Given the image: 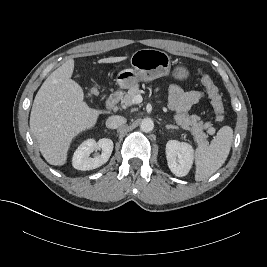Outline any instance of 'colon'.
Returning a JSON list of instances; mask_svg holds the SVG:
<instances>
[{
  "instance_id": "colon-1",
  "label": "colon",
  "mask_w": 267,
  "mask_h": 267,
  "mask_svg": "<svg viewBox=\"0 0 267 267\" xmlns=\"http://www.w3.org/2000/svg\"><path fill=\"white\" fill-rule=\"evenodd\" d=\"M201 82L203 86L206 88V91L208 93V96L211 100V104L213 107V111L216 117V120L221 122L224 119L225 116V108L223 100L218 92L217 87L213 83L211 77L206 74H202L201 76ZM97 91L96 89H91L90 93L95 94Z\"/></svg>"
}]
</instances>
